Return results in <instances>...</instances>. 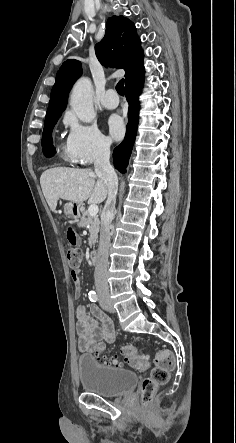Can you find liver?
Masks as SVG:
<instances>
[{
    "mask_svg": "<svg viewBox=\"0 0 236 443\" xmlns=\"http://www.w3.org/2000/svg\"><path fill=\"white\" fill-rule=\"evenodd\" d=\"M40 184L53 212L60 198L82 205L87 199L101 203L108 195L106 183L91 169L51 168L42 173Z\"/></svg>",
    "mask_w": 236,
    "mask_h": 443,
    "instance_id": "liver-1",
    "label": "liver"
}]
</instances>
